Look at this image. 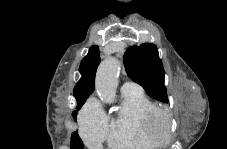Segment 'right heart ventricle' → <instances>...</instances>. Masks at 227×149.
<instances>
[{
    "mask_svg": "<svg viewBox=\"0 0 227 149\" xmlns=\"http://www.w3.org/2000/svg\"><path fill=\"white\" fill-rule=\"evenodd\" d=\"M154 107L142 90L122 92L119 107L108 119L109 144L119 149H154L157 145L144 126L145 114Z\"/></svg>",
    "mask_w": 227,
    "mask_h": 149,
    "instance_id": "1",
    "label": "right heart ventricle"
}]
</instances>
